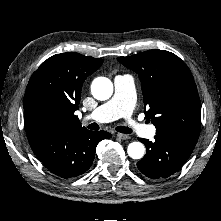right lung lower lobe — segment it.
I'll list each match as a JSON object with an SVG mask.
<instances>
[{"instance_id": "right-lung-lower-lobe-1", "label": "right lung lower lobe", "mask_w": 221, "mask_h": 221, "mask_svg": "<svg viewBox=\"0 0 221 221\" xmlns=\"http://www.w3.org/2000/svg\"><path fill=\"white\" fill-rule=\"evenodd\" d=\"M29 144L44 166L62 177H76L92 165L96 146L111 137L106 131L42 128L27 133Z\"/></svg>"}]
</instances>
